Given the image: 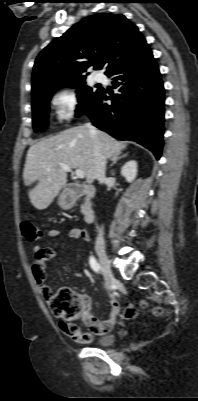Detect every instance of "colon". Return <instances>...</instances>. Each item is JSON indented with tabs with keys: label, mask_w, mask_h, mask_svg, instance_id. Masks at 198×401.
I'll list each match as a JSON object with an SVG mask.
<instances>
[{
	"label": "colon",
	"mask_w": 198,
	"mask_h": 401,
	"mask_svg": "<svg viewBox=\"0 0 198 401\" xmlns=\"http://www.w3.org/2000/svg\"><path fill=\"white\" fill-rule=\"evenodd\" d=\"M22 235L29 241H36L41 237V231L35 224L31 217H25L22 219L20 224ZM46 299L49 300L50 308L52 313L59 318H62L63 323L68 326V334L73 337L78 330L76 326L72 324V321L80 319L85 325H90L94 320V314L86 311L80 297L75 294L72 290L62 288L55 294H50ZM143 308L147 307V303L143 301L141 303ZM152 312L155 315H165L166 311L161 307H153ZM137 315V309L135 307H126L122 314V319L134 318Z\"/></svg>",
	"instance_id": "obj_1"
}]
</instances>
